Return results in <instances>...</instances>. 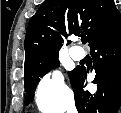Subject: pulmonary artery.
Masks as SVG:
<instances>
[{
    "mask_svg": "<svg viewBox=\"0 0 121 113\" xmlns=\"http://www.w3.org/2000/svg\"><path fill=\"white\" fill-rule=\"evenodd\" d=\"M70 55L74 60L79 61L84 58L85 52L82 49H78L74 46L70 50Z\"/></svg>",
    "mask_w": 121,
    "mask_h": 113,
    "instance_id": "e3ab8cb5",
    "label": "pulmonary artery"
}]
</instances>
